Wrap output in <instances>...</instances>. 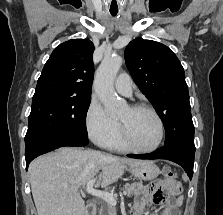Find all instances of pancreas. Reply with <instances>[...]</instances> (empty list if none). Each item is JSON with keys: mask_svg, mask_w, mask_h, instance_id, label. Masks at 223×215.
<instances>
[{"mask_svg": "<svg viewBox=\"0 0 223 215\" xmlns=\"http://www.w3.org/2000/svg\"><path fill=\"white\" fill-rule=\"evenodd\" d=\"M123 189H127L128 191L127 195L128 197H131V195H137V193H140L141 189H143V183L142 184H135V183H125L123 185ZM107 211L108 215H116V209L115 207H112L110 203H107Z\"/></svg>", "mask_w": 223, "mask_h": 215, "instance_id": "obj_1", "label": "pancreas"}]
</instances>
